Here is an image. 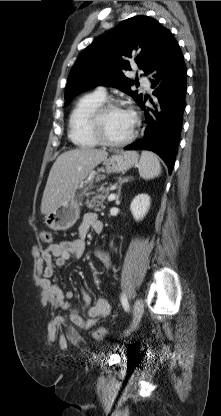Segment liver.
Returning <instances> with one entry per match:
<instances>
[{"mask_svg": "<svg viewBox=\"0 0 221 416\" xmlns=\"http://www.w3.org/2000/svg\"><path fill=\"white\" fill-rule=\"evenodd\" d=\"M108 152L91 148H80L62 153L54 162L47 179L41 202V213L49 214L63 204L78 185L101 162Z\"/></svg>", "mask_w": 221, "mask_h": 416, "instance_id": "6515ba94", "label": "liver"}]
</instances>
